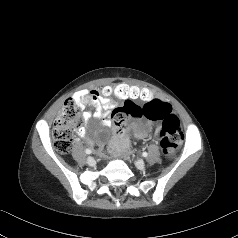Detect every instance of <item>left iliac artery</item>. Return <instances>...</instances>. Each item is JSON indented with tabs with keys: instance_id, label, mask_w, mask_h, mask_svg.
Listing matches in <instances>:
<instances>
[{
	"instance_id": "1",
	"label": "left iliac artery",
	"mask_w": 238,
	"mask_h": 238,
	"mask_svg": "<svg viewBox=\"0 0 238 238\" xmlns=\"http://www.w3.org/2000/svg\"><path fill=\"white\" fill-rule=\"evenodd\" d=\"M142 156H143V157H147V156H148V153H147V152H143V153H142Z\"/></svg>"
}]
</instances>
